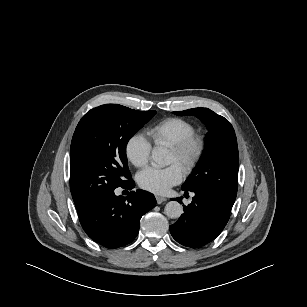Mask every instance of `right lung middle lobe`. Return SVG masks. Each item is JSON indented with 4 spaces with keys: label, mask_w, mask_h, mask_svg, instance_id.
I'll use <instances>...</instances> for the list:
<instances>
[{
    "label": "right lung middle lobe",
    "mask_w": 307,
    "mask_h": 307,
    "mask_svg": "<svg viewBox=\"0 0 307 307\" xmlns=\"http://www.w3.org/2000/svg\"><path fill=\"white\" fill-rule=\"evenodd\" d=\"M155 114L105 104L83 116L70 148V188L76 209L131 179L126 145Z\"/></svg>",
    "instance_id": "1"
}]
</instances>
